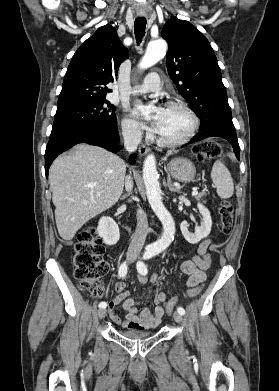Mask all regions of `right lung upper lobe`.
Instances as JSON below:
<instances>
[{
    "label": "right lung upper lobe",
    "instance_id": "1",
    "mask_svg": "<svg viewBox=\"0 0 279 391\" xmlns=\"http://www.w3.org/2000/svg\"><path fill=\"white\" fill-rule=\"evenodd\" d=\"M129 53L111 25L100 27L75 52L64 77L57 109L106 99L107 84L117 79L119 66Z\"/></svg>",
    "mask_w": 279,
    "mask_h": 391
}]
</instances>
